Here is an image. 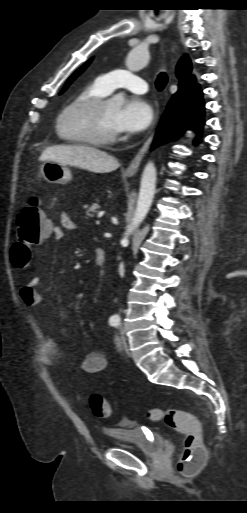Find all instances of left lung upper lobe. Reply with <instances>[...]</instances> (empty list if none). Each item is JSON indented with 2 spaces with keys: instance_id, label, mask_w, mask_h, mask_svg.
Returning a JSON list of instances; mask_svg holds the SVG:
<instances>
[{
  "instance_id": "obj_1",
  "label": "left lung upper lobe",
  "mask_w": 247,
  "mask_h": 513,
  "mask_svg": "<svg viewBox=\"0 0 247 513\" xmlns=\"http://www.w3.org/2000/svg\"><path fill=\"white\" fill-rule=\"evenodd\" d=\"M91 60H89L88 62H86L83 66H81L67 81V83L65 84L64 88L62 89L61 93H63L67 87L72 83L73 80H75L77 78V76H79L86 68L87 66L90 64Z\"/></svg>"
}]
</instances>
